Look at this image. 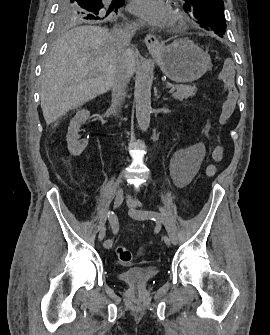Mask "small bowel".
Instances as JSON below:
<instances>
[{
  "label": "small bowel",
  "mask_w": 270,
  "mask_h": 335,
  "mask_svg": "<svg viewBox=\"0 0 270 335\" xmlns=\"http://www.w3.org/2000/svg\"><path fill=\"white\" fill-rule=\"evenodd\" d=\"M52 156H59V149L51 150ZM205 157V147L201 143L191 146L176 155L171 164V177L178 187L185 186L198 171Z\"/></svg>",
  "instance_id": "1"
}]
</instances>
